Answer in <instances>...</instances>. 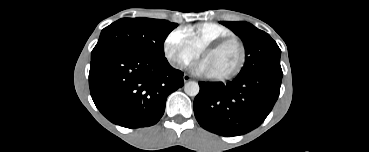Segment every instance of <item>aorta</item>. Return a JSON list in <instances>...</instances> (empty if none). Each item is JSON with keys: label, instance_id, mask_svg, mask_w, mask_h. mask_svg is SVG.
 Segmentation results:
<instances>
[{"label": "aorta", "instance_id": "aorta-1", "mask_svg": "<svg viewBox=\"0 0 369 152\" xmlns=\"http://www.w3.org/2000/svg\"><path fill=\"white\" fill-rule=\"evenodd\" d=\"M199 84L195 81H189L184 85V92L189 96H196L199 93Z\"/></svg>", "mask_w": 369, "mask_h": 152}]
</instances>
